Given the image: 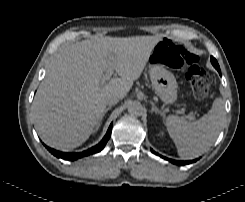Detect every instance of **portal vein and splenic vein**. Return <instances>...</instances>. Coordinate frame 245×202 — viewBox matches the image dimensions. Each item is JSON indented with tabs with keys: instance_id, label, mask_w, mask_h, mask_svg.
I'll return each mask as SVG.
<instances>
[{
	"instance_id": "portal-vein-and-splenic-vein-1",
	"label": "portal vein and splenic vein",
	"mask_w": 245,
	"mask_h": 202,
	"mask_svg": "<svg viewBox=\"0 0 245 202\" xmlns=\"http://www.w3.org/2000/svg\"><path fill=\"white\" fill-rule=\"evenodd\" d=\"M113 72H114V66H113V62L111 61L109 63L108 69L106 70V73L102 77L101 83L104 84L111 77ZM186 118H188L189 120H193L194 119V117L192 115H189Z\"/></svg>"
}]
</instances>
